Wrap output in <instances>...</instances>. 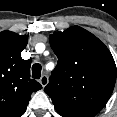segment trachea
<instances>
[{
	"mask_svg": "<svg viewBox=\"0 0 117 117\" xmlns=\"http://www.w3.org/2000/svg\"><path fill=\"white\" fill-rule=\"evenodd\" d=\"M41 65L36 63L32 66V78L39 79L41 76Z\"/></svg>",
	"mask_w": 117,
	"mask_h": 117,
	"instance_id": "1",
	"label": "trachea"
}]
</instances>
